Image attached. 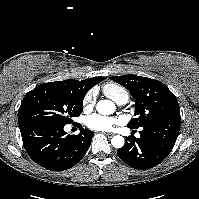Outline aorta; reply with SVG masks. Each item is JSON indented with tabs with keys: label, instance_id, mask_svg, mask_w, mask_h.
Listing matches in <instances>:
<instances>
[{
	"label": "aorta",
	"instance_id": "obj_1",
	"mask_svg": "<svg viewBox=\"0 0 199 199\" xmlns=\"http://www.w3.org/2000/svg\"><path fill=\"white\" fill-rule=\"evenodd\" d=\"M115 108L114 102L110 100H100L96 105V109L101 115H110L114 113ZM124 143V138L120 135H116L111 139V144L114 148H122Z\"/></svg>",
	"mask_w": 199,
	"mask_h": 199
}]
</instances>
